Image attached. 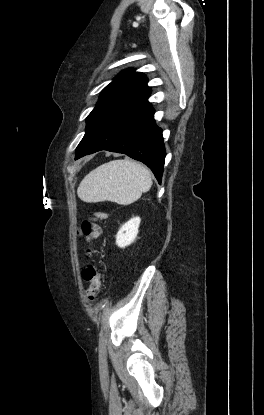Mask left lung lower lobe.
<instances>
[{
    "label": "left lung lower lobe",
    "mask_w": 264,
    "mask_h": 415,
    "mask_svg": "<svg viewBox=\"0 0 264 415\" xmlns=\"http://www.w3.org/2000/svg\"><path fill=\"white\" fill-rule=\"evenodd\" d=\"M151 89L103 113L77 149L75 159L100 150L123 153L146 164L161 182L166 156L162 130L148 102Z\"/></svg>",
    "instance_id": "0a47b994"
}]
</instances>
